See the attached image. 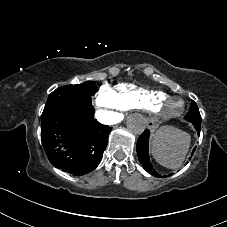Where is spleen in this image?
I'll list each match as a JSON object with an SVG mask.
<instances>
[{"mask_svg": "<svg viewBox=\"0 0 227 227\" xmlns=\"http://www.w3.org/2000/svg\"><path fill=\"white\" fill-rule=\"evenodd\" d=\"M191 136L175 127L162 126L152 136L151 153L160 165L176 169L185 160Z\"/></svg>", "mask_w": 227, "mask_h": 227, "instance_id": "obj_1", "label": "spleen"}]
</instances>
